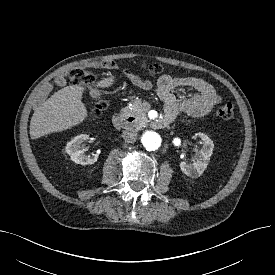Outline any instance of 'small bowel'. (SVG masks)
<instances>
[{
	"mask_svg": "<svg viewBox=\"0 0 275 275\" xmlns=\"http://www.w3.org/2000/svg\"><path fill=\"white\" fill-rule=\"evenodd\" d=\"M126 75L137 87L144 90L152 88L150 81L142 80L130 72L126 73ZM55 83L58 86L65 85L64 77H57ZM177 87L191 88L193 90L192 96L189 98H177L174 95V90ZM156 92L159 98L165 103V116L171 120L179 113H185L192 117L206 116L221 102V98L213 86L205 80L196 77H171L163 75L157 81Z\"/></svg>",
	"mask_w": 275,
	"mask_h": 275,
	"instance_id": "obj_1",
	"label": "small bowel"
}]
</instances>
